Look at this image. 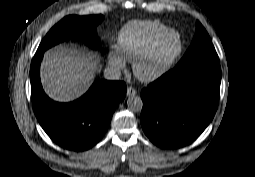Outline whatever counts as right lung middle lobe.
I'll return each mask as SVG.
<instances>
[{"label": "right lung middle lobe", "mask_w": 255, "mask_h": 177, "mask_svg": "<svg viewBox=\"0 0 255 177\" xmlns=\"http://www.w3.org/2000/svg\"><path fill=\"white\" fill-rule=\"evenodd\" d=\"M104 19L103 15H70L57 23L44 37L37 52H44L53 45L72 37H81L87 46L97 47L96 27Z\"/></svg>", "instance_id": "1"}]
</instances>
